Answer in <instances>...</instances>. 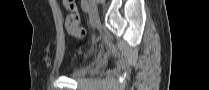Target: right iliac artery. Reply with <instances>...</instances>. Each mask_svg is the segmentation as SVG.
Wrapping results in <instances>:
<instances>
[{
    "label": "right iliac artery",
    "mask_w": 209,
    "mask_h": 90,
    "mask_svg": "<svg viewBox=\"0 0 209 90\" xmlns=\"http://www.w3.org/2000/svg\"><path fill=\"white\" fill-rule=\"evenodd\" d=\"M82 9L85 13L89 12V4L87 1L82 2Z\"/></svg>",
    "instance_id": "1"
}]
</instances>
